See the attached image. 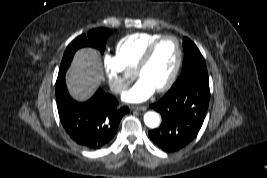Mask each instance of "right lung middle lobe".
Masks as SVG:
<instances>
[{
	"label": "right lung middle lobe",
	"mask_w": 267,
	"mask_h": 178,
	"mask_svg": "<svg viewBox=\"0 0 267 178\" xmlns=\"http://www.w3.org/2000/svg\"><path fill=\"white\" fill-rule=\"evenodd\" d=\"M111 34V31L107 28H98L88 32L87 37L85 35L75 38L67 47L59 69V73L66 72L71 64L75 52L82 47H92L98 49L101 53L104 52L106 46V40Z\"/></svg>",
	"instance_id": "right-lung-middle-lobe-1"
}]
</instances>
